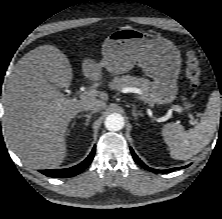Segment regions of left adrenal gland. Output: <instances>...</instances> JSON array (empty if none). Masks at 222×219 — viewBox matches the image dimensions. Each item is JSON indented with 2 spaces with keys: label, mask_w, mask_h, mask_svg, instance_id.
Segmentation results:
<instances>
[{
  "label": "left adrenal gland",
  "mask_w": 222,
  "mask_h": 219,
  "mask_svg": "<svg viewBox=\"0 0 222 219\" xmlns=\"http://www.w3.org/2000/svg\"><path fill=\"white\" fill-rule=\"evenodd\" d=\"M132 116L134 117V119H137L138 116H142V113L140 111H136V107L134 105H133Z\"/></svg>",
  "instance_id": "a2214340"
}]
</instances>
